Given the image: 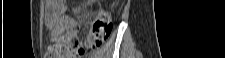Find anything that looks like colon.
Returning a JSON list of instances; mask_svg holds the SVG:
<instances>
[{
    "label": "colon",
    "instance_id": "colon-1",
    "mask_svg": "<svg viewBox=\"0 0 225 58\" xmlns=\"http://www.w3.org/2000/svg\"><path fill=\"white\" fill-rule=\"evenodd\" d=\"M112 31L110 14L102 9L94 13V21L91 30L84 40L78 38V28L69 24L64 37L56 39L50 47V55L54 58H63L72 55L73 58L84 57L86 51L101 47L109 38Z\"/></svg>",
    "mask_w": 225,
    "mask_h": 58
}]
</instances>
